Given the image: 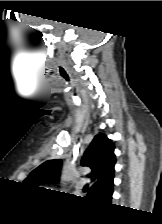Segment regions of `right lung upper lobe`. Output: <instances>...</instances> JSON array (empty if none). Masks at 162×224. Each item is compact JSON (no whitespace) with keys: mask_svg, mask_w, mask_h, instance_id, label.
Masks as SVG:
<instances>
[{"mask_svg":"<svg viewBox=\"0 0 162 224\" xmlns=\"http://www.w3.org/2000/svg\"><path fill=\"white\" fill-rule=\"evenodd\" d=\"M114 143L104 134H98L85 151L81 160L82 166L91 168L88 177L91 179L88 196L104 200L113 193ZM62 160L52 159L42 163L25 179V183L37 186L43 183H54L59 180ZM107 202V201H105Z\"/></svg>","mask_w":162,"mask_h":224,"instance_id":"right-lung-upper-lobe-1","label":"right lung upper lobe"}]
</instances>
